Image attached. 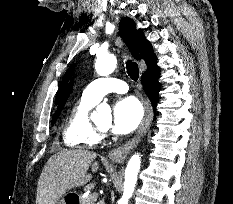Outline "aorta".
<instances>
[{
  "mask_svg": "<svg viewBox=\"0 0 233 204\" xmlns=\"http://www.w3.org/2000/svg\"><path fill=\"white\" fill-rule=\"evenodd\" d=\"M117 64V59L112 54L100 55L97 57L95 62V70L100 76H108L111 74ZM111 108L107 104H100L97 106L96 110L92 114L94 120L99 119L101 116H110ZM141 160L139 154H134L126 167L125 170V181H124V191L120 198L118 204H128L130 197L132 196L136 182L137 175L140 170Z\"/></svg>",
  "mask_w": 233,
  "mask_h": 204,
  "instance_id": "obj_1",
  "label": "aorta"
}]
</instances>
